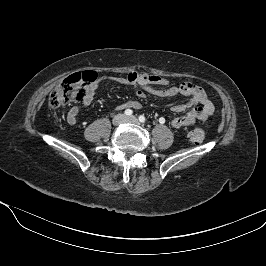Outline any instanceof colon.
Returning a JSON list of instances; mask_svg holds the SVG:
<instances>
[{"label": "colon", "mask_w": 266, "mask_h": 266, "mask_svg": "<svg viewBox=\"0 0 266 266\" xmlns=\"http://www.w3.org/2000/svg\"><path fill=\"white\" fill-rule=\"evenodd\" d=\"M97 74L93 71L74 73L63 80L49 96V106L61 108L70 103L81 102L86 96L88 86L94 83ZM205 138L203 127H196L190 131L188 139L192 144H200Z\"/></svg>", "instance_id": "5ec220e1"}]
</instances>
